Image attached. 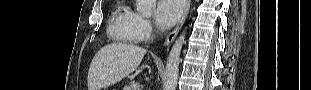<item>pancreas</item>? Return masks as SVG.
Masks as SVG:
<instances>
[{
    "instance_id": "1",
    "label": "pancreas",
    "mask_w": 311,
    "mask_h": 90,
    "mask_svg": "<svg viewBox=\"0 0 311 90\" xmlns=\"http://www.w3.org/2000/svg\"><path fill=\"white\" fill-rule=\"evenodd\" d=\"M124 90H140V84L138 82H131L128 86H125Z\"/></svg>"
}]
</instances>
